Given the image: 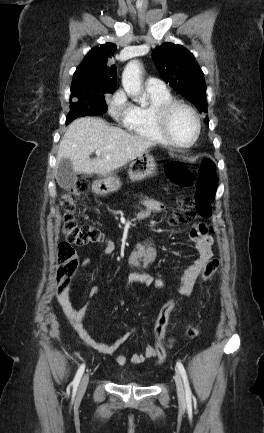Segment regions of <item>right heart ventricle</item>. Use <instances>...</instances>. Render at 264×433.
<instances>
[{
  "mask_svg": "<svg viewBox=\"0 0 264 433\" xmlns=\"http://www.w3.org/2000/svg\"><path fill=\"white\" fill-rule=\"evenodd\" d=\"M147 96L149 104L134 105L132 115L124 123V126L139 138L167 145V142L159 131L155 118V110L157 107L172 101L173 98L169 91L152 92L147 90Z\"/></svg>",
  "mask_w": 264,
  "mask_h": 433,
  "instance_id": "obj_1",
  "label": "right heart ventricle"
}]
</instances>
